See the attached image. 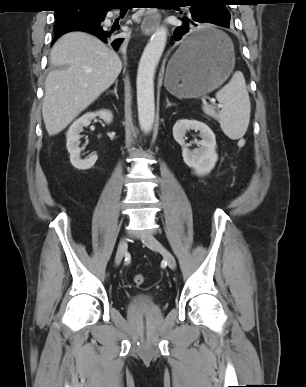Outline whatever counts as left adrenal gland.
Wrapping results in <instances>:
<instances>
[{"label":"left adrenal gland","instance_id":"obj_1","mask_svg":"<svg viewBox=\"0 0 306 387\" xmlns=\"http://www.w3.org/2000/svg\"><path fill=\"white\" fill-rule=\"evenodd\" d=\"M166 102H167L166 108L171 107V106H176L175 103H171V102L169 101L168 97H166Z\"/></svg>","mask_w":306,"mask_h":387}]
</instances>
